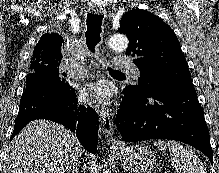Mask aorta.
Returning <instances> with one entry per match:
<instances>
[{"label":"aorta","instance_id":"obj_1","mask_svg":"<svg viewBox=\"0 0 219 173\" xmlns=\"http://www.w3.org/2000/svg\"><path fill=\"white\" fill-rule=\"evenodd\" d=\"M107 46L113 51L122 52L128 47V39L123 34H114L108 40ZM104 173H111L109 170H105Z\"/></svg>","mask_w":219,"mask_h":173}]
</instances>
